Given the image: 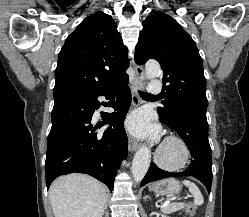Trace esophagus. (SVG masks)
<instances>
[{
	"mask_svg": "<svg viewBox=\"0 0 249 217\" xmlns=\"http://www.w3.org/2000/svg\"><path fill=\"white\" fill-rule=\"evenodd\" d=\"M132 63H133V67L135 70V78L131 84L132 107H136L141 102L139 90L143 86V82L145 79V72H144L143 67L136 64L134 59H133ZM128 148H129L130 152H133L138 148L137 141L131 135L128 136Z\"/></svg>",
	"mask_w": 249,
	"mask_h": 217,
	"instance_id": "esophagus-1",
	"label": "esophagus"
}]
</instances>
